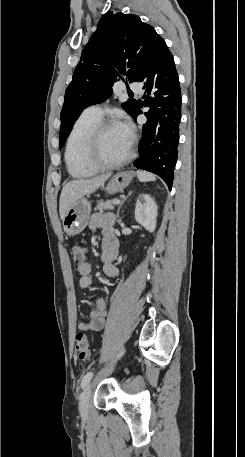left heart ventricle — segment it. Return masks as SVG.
<instances>
[{"instance_id":"left-heart-ventricle-1","label":"left heart ventricle","mask_w":245,"mask_h":457,"mask_svg":"<svg viewBox=\"0 0 245 457\" xmlns=\"http://www.w3.org/2000/svg\"><path fill=\"white\" fill-rule=\"evenodd\" d=\"M129 144L118 127H112L105 131L99 144H93L89 155L94 162L117 159L127 151Z\"/></svg>"}]
</instances>
